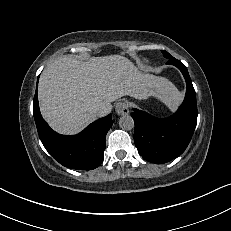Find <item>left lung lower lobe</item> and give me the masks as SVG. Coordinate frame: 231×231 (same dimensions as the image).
Returning a JSON list of instances; mask_svg holds the SVG:
<instances>
[{"label":"left lung lower lobe","instance_id":"obj_1","mask_svg":"<svg viewBox=\"0 0 231 231\" xmlns=\"http://www.w3.org/2000/svg\"><path fill=\"white\" fill-rule=\"evenodd\" d=\"M168 64L179 68L186 84L184 102L178 111L165 119L133 109L135 122L134 142L140 155L147 161L163 164L171 161L187 148L197 123L196 94L187 68L177 59H170Z\"/></svg>","mask_w":231,"mask_h":231}]
</instances>
